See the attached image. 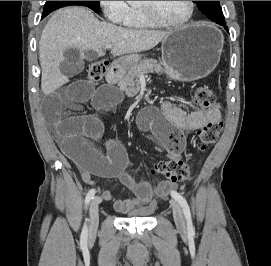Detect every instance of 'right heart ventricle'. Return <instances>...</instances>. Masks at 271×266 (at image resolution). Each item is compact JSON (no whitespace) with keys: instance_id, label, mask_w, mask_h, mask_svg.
<instances>
[{"instance_id":"1","label":"right heart ventricle","mask_w":271,"mask_h":266,"mask_svg":"<svg viewBox=\"0 0 271 266\" xmlns=\"http://www.w3.org/2000/svg\"><path fill=\"white\" fill-rule=\"evenodd\" d=\"M124 24L127 27L137 29H145L155 26L144 16L140 7L137 6L129 7L128 15Z\"/></svg>"}]
</instances>
